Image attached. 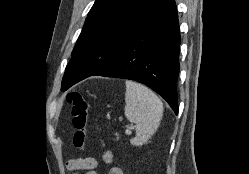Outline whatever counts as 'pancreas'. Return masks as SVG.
Masks as SVG:
<instances>
[{"label": "pancreas", "mask_w": 249, "mask_h": 174, "mask_svg": "<svg viewBox=\"0 0 249 174\" xmlns=\"http://www.w3.org/2000/svg\"><path fill=\"white\" fill-rule=\"evenodd\" d=\"M115 135H116L117 138L119 137V134H118V133H116Z\"/></svg>", "instance_id": "cf45deb5"}]
</instances>
